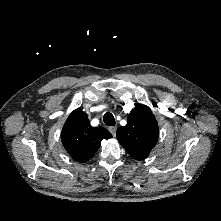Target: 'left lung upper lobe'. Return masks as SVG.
<instances>
[{"mask_svg":"<svg viewBox=\"0 0 221 221\" xmlns=\"http://www.w3.org/2000/svg\"><path fill=\"white\" fill-rule=\"evenodd\" d=\"M158 124L149 107L138 104L128 115L127 125L117 129L119 143L130 156L142 160L158 140Z\"/></svg>","mask_w":221,"mask_h":221,"instance_id":"5c2ea615","label":"left lung upper lobe"}]
</instances>
